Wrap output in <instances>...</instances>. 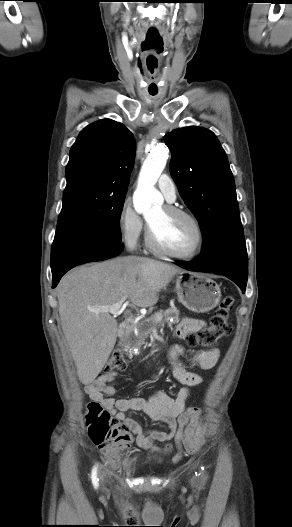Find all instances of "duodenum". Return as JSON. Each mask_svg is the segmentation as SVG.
I'll list each match as a JSON object with an SVG mask.
<instances>
[{"label": "duodenum", "instance_id": "410a0bca", "mask_svg": "<svg viewBox=\"0 0 292 527\" xmlns=\"http://www.w3.org/2000/svg\"><path fill=\"white\" fill-rule=\"evenodd\" d=\"M133 328V322L131 320H126L122 322L119 326L118 335L120 338H125Z\"/></svg>", "mask_w": 292, "mask_h": 527}]
</instances>
